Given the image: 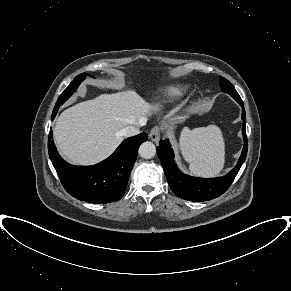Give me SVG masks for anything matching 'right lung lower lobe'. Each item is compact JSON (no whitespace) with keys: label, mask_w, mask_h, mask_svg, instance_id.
I'll return each mask as SVG.
<instances>
[{"label":"right lung lower lobe","mask_w":291,"mask_h":291,"mask_svg":"<svg viewBox=\"0 0 291 291\" xmlns=\"http://www.w3.org/2000/svg\"><path fill=\"white\" fill-rule=\"evenodd\" d=\"M52 137L50 129L48 153L64 189L78 200L97 204L122 198L138 147L147 140V134L141 133L124 140L110 157L96 165L74 166L61 158Z\"/></svg>","instance_id":"obj_1"}]
</instances>
